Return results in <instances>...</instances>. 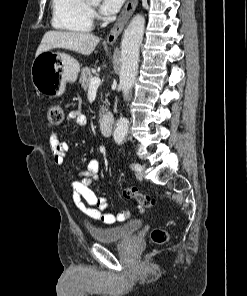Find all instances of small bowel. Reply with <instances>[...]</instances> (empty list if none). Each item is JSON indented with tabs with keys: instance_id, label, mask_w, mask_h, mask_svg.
<instances>
[{
	"instance_id": "1",
	"label": "small bowel",
	"mask_w": 247,
	"mask_h": 296,
	"mask_svg": "<svg viewBox=\"0 0 247 296\" xmlns=\"http://www.w3.org/2000/svg\"><path fill=\"white\" fill-rule=\"evenodd\" d=\"M68 119L77 127H85L87 125L86 116L79 110L70 112ZM50 145L54 163L57 166H62L67 158L68 145L59 140L57 132L51 134ZM98 171L99 161L97 158H92L87 165V170L79 175V179L72 180L69 183L73 201L78 209L91 219L108 225L122 222L129 217V212L110 213L108 211V199L104 196H97L90 188V185L99 179Z\"/></svg>"
}]
</instances>
